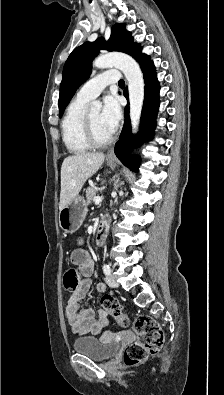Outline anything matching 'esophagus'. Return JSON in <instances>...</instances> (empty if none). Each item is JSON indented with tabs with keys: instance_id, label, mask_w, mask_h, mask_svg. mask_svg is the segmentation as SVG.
Here are the masks:
<instances>
[{
	"instance_id": "esophagus-1",
	"label": "esophagus",
	"mask_w": 224,
	"mask_h": 395,
	"mask_svg": "<svg viewBox=\"0 0 224 395\" xmlns=\"http://www.w3.org/2000/svg\"><path fill=\"white\" fill-rule=\"evenodd\" d=\"M106 158L107 159H115V153H114L113 147L107 152Z\"/></svg>"
}]
</instances>
